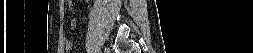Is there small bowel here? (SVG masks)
Masks as SVG:
<instances>
[{
    "label": "small bowel",
    "mask_w": 253,
    "mask_h": 53,
    "mask_svg": "<svg viewBox=\"0 0 253 53\" xmlns=\"http://www.w3.org/2000/svg\"><path fill=\"white\" fill-rule=\"evenodd\" d=\"M76 26V21H75V18L73 17L71 19V22H70V28H74ZM72 41L71 40H66L64 42V47L66 50H70L72 48Z\"/></svg>",
    "instance_id": "1"
}]
</instances>
